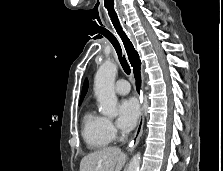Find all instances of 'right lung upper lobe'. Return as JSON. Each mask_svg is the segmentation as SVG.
<instances>
[{
	"label": "right lung upper lobe",
	"mask_w": 223,
	"mask_h": 171,
	"mask_svg": "<svg viewBox=\"0 0 223 171\" xmlns=\"http://www.w3.org/2000/svg\"><path fill=\"white\" fill-rule=\"evenodd\" d=\"M87 89H88V80L85 79V82H84V85H83V89H82V94H81V100H80V103L79 104H81L84 96L86 95Z\"/></svg>",
	"instance_id": "obj_1"
}]
</instances>
